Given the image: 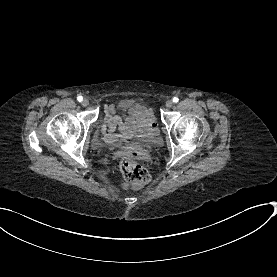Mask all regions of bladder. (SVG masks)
I'll return each instance as SVG.
<instances>
[{
	"mask_svg": "<svg viewBox=\"0 0 277 277\" xmlns=\"http://www.w3.org/2000/svg\"><path fill=\"white\" fill-rule=\"evenodd\" d=\"M133 105H125L124 103H117L115 108H112V112L113 113H120V112H124L128 109H132ZM160 134L159 128L158 126H152V127H148L145 129L144 131V138L147 142L158 138Z\"/></svg>",
	"mask_w": 277,
	"mask_h": 277,
	"instance_id": "bladder-1",
	"label": "bladder"
}]
</instances>
